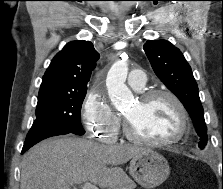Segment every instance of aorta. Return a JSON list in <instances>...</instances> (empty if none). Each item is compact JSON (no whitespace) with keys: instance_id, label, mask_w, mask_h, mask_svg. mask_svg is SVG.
Here are the masks:
<instances>
[{"instance_id":"1","label":"aorta","mask_w":223,"mask_h":189,"mask_svg":"<svg viewBox=\"0 0 223 189\" xmlns=\"http://www.w3.org/2000/svg\"><path fill=\"white\" fill-rule=\"evenodd\" d=\"M128 74V64L123 61H116L110 68L106 86L110 100L117 110L128 108L133 102V94L125 85Z\"/></svg>"}]
</instances>
